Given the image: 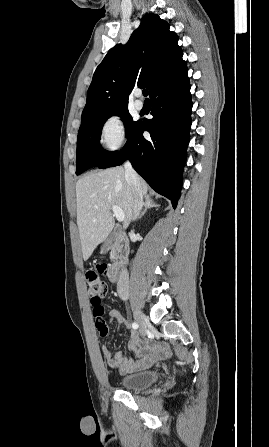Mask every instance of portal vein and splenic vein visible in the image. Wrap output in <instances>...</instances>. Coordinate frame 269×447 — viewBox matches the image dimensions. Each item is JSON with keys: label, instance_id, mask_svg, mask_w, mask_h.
Returning a JSON list of instances; mask_svg holds the SVG:
<instances>
[{"label": "portal vein and splenic vein", "instance_id": "18ae733b", "mask_svg": "<svg viewBox=\"0 0 269 447\" xmlns=\"http://www.w3.org/2000/svg\"><path fill=\"white\" fill-rule=\"evenodd\" d=\"M112 212H113L114 216H116L118 222H123L125 216H124V212H123V210H121V208H118V206H113Z\"/></svg>", "mask_w": 269, "mask_h": 447}]
</instances>
